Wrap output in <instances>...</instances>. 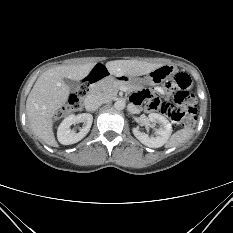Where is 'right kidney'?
<instances>
[{
    "label": "right kidney",
    "instance_id": "obj_1",
    "mask_svg": "<svg viewBox=\"0 0 233 233\" xmlns=\"http://www.w3.org/2000/svg\"><path fill=\"white\" fill-rule=\"evenodd\" d=\"M83 122V127L78 133L71 129L72 124ZM93 122V116L90 113H82L78 115H69L58 127V141L63 145L74 144L83 139L90 131Z\"/></svg>",
    "mask_w": 233,
    "mask_h": 233
}]
</instances>
